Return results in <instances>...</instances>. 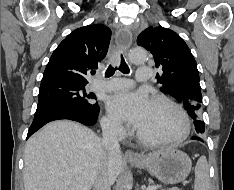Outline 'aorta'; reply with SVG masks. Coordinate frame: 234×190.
<instances>
[{"mask_svg":"<svg viewBox=\"0 0 234 190\" xmlns=\"http://www.w3.org/2000/svg\"><path fill=\"white\" fill-rule=\"evenodd\" d=\"M129 59L134 64L143 63L147 59V51L143 48H133L129 52Z\"/></svg>","mask_w":234,"mask_h":190,"instance_id":"762f6f07","label":"aorta"}]
</instances>
